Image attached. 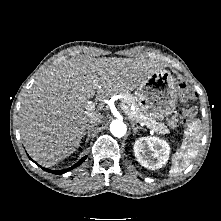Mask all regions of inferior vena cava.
Here are the masks:
<instances>
[{"label": "inferior vena cava", "instance_id": "obj_1", "mask_svg": "<svg viewBox=\"0 0 221 221\" xmlns=\"http://www.w3.org/2000/svg\"><path fill=\"white\" fill-rule=\"evenodd\" d=\"M102 120H103L102 116L101 115H97L95 117H92L89 122L91 124H100V123H102Z\"/></svg>", "mask_w": 221, "mask_h": 221}]
</instances>
